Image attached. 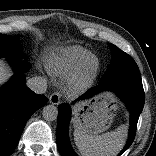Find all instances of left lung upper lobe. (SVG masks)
<instances>
[{
    "instance_id": "obj_1",
    "label": "left lung upper lobe",
    "mask_w": 156,
    "mask_h": 156,
    "mask_svg": "<svg viewBox=\"0 0 156 156\" xmlns=\"http://www.w3.org/2000/svg\"><path fill=\"white\" fill-rule=\"evenodd\" d=\"M112 52L111 63L100 82L112 80L141 81L139 68L133 58L113 44H108Z\"/></svg>"
}]
</instances>
